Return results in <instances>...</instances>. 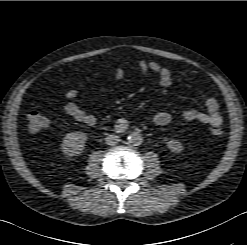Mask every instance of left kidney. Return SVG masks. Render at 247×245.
Masks as SVG:
<instances>
[{"label":"left kidney","instance_id":"left-kidney-1","mask_svg":"<svg viewBox=\"0 0 247 245\" xmlns=\"http://www.w3.org/2000/svg\"><path fill=\"white\" fill-rule=\"evenodd\" d=\"M167 147L169 148V150L171 152H174V153H179V152L183 151V149H184L183 144L177 140L168 141Z\"/></svg>","mask_w":247,"mask_h":245}]
</instances>
